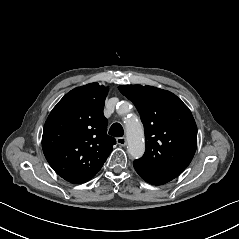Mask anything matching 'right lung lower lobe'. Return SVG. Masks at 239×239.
<instances>
[{
  "label": "right lung lower lobe",
  "mask_w": 239,
  "mask_h": 239,
  "mask_svg": "<svg viewBox=\"0 0 239 239\" xmlns=\"http://www.w3.org/2000/svg\"><path fill=\"white\" fill-rule=\"evenodd\" d=\"M88 180H90V179H85V180L68 179L67 181H68V182H71V183H75V184H80V183L87 182Z\"/></svg>",
  "instance_id": "obj_1"
}]
</instances>
